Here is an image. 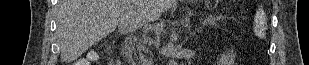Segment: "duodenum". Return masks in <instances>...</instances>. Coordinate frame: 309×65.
<instances>
[{"instance_id": "1", "label": "duodenum", "mask_w": 309, "mask_h": 65, "mask_svg": "<svg viewBox=\"0 0 309 65\" xmlns=\"http://www.w3.org/2000/svg\"><path fill=\"white\" fill-rule=\"evenodd\" d=\"M121 56L125 60H130L131 57V39L125 37L121 45Z\"/></svg>"}]
</instances>
